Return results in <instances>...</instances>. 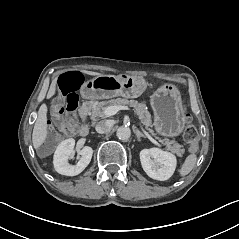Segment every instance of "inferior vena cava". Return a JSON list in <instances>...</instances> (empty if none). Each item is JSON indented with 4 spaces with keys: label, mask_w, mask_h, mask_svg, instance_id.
Returning a JSON list of instances; mask_svg holds the SVG:
<instances>
[{
    "label": "inferior vena cava",
    "mask_w": 239,
    "mask_h": 239,
    "mask_svg": "<svg viewBox=\"0 0 239 239\" xmlns=\"http://www.w3.org/2000/svg\"><path fill=\"white\" fill-rule=\"evenodd\" d=\"M110 128H111V124L108 120H102L98 122L95 127L97 133H100V134L109 132Z\"/></svg>",
    "instance_id": "inferior-vena-cava-1"
}]
</instances>
